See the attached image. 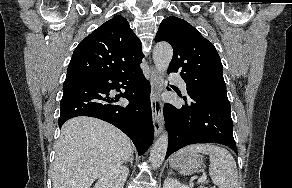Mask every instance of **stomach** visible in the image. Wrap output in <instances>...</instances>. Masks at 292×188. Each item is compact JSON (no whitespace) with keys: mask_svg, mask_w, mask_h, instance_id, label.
<instances>
[{"mask_svg":"<svg viewBox=\"0 0 292 188\" xmlns=\"http://www.w3.org/2000/svg\"><path fill=\"white\" fill-rule=\"evenodd\" d=\"M203 165V158L197 153L176 154L170 159V166L183 175L196 172Z\"/></svg>","mask_w":292,"mask_h":188,"instance_id":"1","label":"stomach"}]
</instances>
